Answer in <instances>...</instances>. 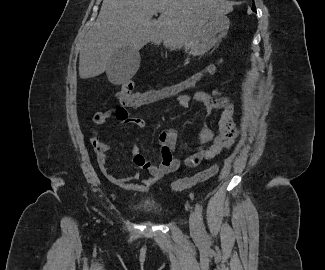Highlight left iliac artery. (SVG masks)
Segmentation results:
<instances>
[{
    "instance_id": "44dca946",
    "label": "left iliac artery",
    "mask_w": 325,
    "mask_h": 270,
    "mask_svg": "<svg viewBox=\"0 0 325 270\" xmlns=\"http://www.w3.org/2000/svg\"><path fill=\"white\" fill-rule=\"evenodd\" d=\"M195 212H196V215H197L201 235H202L203 238H206L207 233H206L205 226H204V223H203L202 207H201V205L199 203H197L196 206H195Z\"/></svg>"
}]
</instances>
